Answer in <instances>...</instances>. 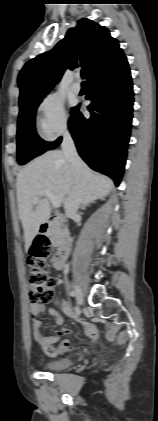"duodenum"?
<instances>
[{"mask_svg": "<svg viewBox=\"0 0 158 421\" xmlns=\"http://www.w3.org/2000/svg\"><path fill=\"white\" fill-rule=\"evenodd\" d=\"M63 219L59 216L50 217L45 220L40 226V233L45 235L49 228L54 224L62 223ZM71 238L69 235H65L59 245L58 251L53 259V266L55 269H61L65 265V262L71 251Z\"/></svg>", "mask_w": 158, "mask_h": 421, "instance_id": "1", "label": "duodenum"}]
</instances>
